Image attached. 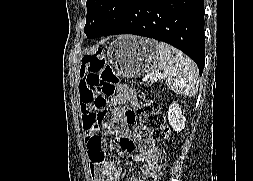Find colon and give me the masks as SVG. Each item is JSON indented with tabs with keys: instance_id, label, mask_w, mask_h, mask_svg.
<instances>
[{
	"instance_id": "5ec220e1",
	"label": "colon",
	"mask_w": 253,
	"mask_h": 181,
	"mask_svg": "<svg viewBox=\"0 0 253 181\" xmlns=\"http://www.w3.org/2000/svg\"><path fill=\"white\" fill-rule=\"evenodd\" d=\"M87 52L91 56L85 58L83 69L86 72L85 84L88 89L85 96L88 114L83 118V123L85 128L92 132V136L86 138V142L90 144L92 140L100 142L102 139L101 130H93V125L102 124L107 100L116 92L117 77L104 62V55H108V50H102V47H87ZM138 114L141 126L151 131L153 139L163 141L167 138L169 130L164 126V115L154 100L144 101ZM92 156L96 157L94 153ZM158 169L156 167L145 175L144 181H158Z\"/></svg>"
}]
</instances>
